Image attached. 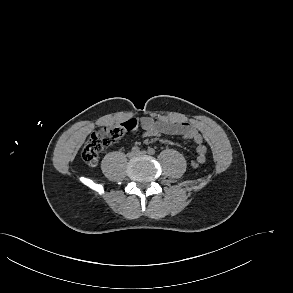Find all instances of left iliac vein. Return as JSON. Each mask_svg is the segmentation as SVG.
Returning <instances> with one entry per match:
<instances>
[{"instance_id":"4c4485c4","label":"left iliac vein","mask_w":293,"mask_h":293,"mask_svg":"<svg viewBox=\"0 0 293 293\" xmlns=\"http://www.w3.org/2000/svg\"><path fill=\"white\" fill-rule=\"evenodd\" d=\"M137 155H146V151H140L137 153Z\"/></svg>"}]
</instances>
